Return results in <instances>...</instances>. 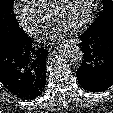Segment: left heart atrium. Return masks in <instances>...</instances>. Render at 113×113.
<instances>
[{
	"mask_svg": "<svg viewBox=\"0 0 113 113\" xmlns=\"http://www.w3.org/2000/svg\"><path fill=\"white\" fill-rule=\"evenodd\" d=\"M65 29L66 27L57 23L56 25L53 26L52 34L50 35V37H57V36L62 35Z\"/></svg>",
	"mask_w": 113,
	"mask_h": 113,
	"instance_id": "left-heart-atrium-1",
	"label": "left heart atrium"
}]
</instances>
